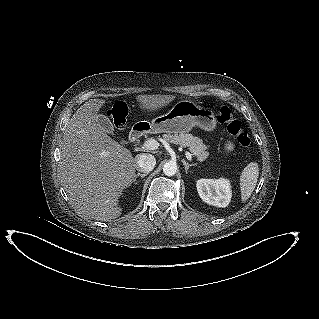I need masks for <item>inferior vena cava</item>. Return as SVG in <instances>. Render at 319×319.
Masks as SVG:
<instances>
[{
	"label": "inferior vena cava",
	"instance_id": "obj_1",
	"mask_svg": "<svg viewBox=\"0 0 319 319\" xmlns=\"http://www.w3.org/2000/svg\"><path fill=\"white\" fill-rule=\"evenodd\" d=\"M137 166L136 170L143 173H149L156 165V159L151 154H140L136 157Z\"/></svg>",
	"mask_w": 319,
	"mask_h": 319
}]
</instances>
